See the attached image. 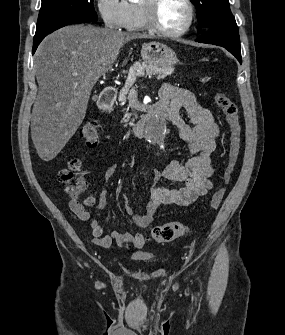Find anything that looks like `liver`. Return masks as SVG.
Instances as JSON below:
<instances>
[{
	"mask_svg": "<svg viewBox=\"0 0 285 335\" xmlns=\"http://www.w3.org/2000/svg\"><path fill=\"white\" fill-rule=\"evenodd\" d=\"M136 38L151 36L77 24L41 42L35 54L40 92L31 118V138L41 160H53L74 136L86 116L93 86L111 70L120 48Z\"/></svg>",
	"mask_w": 285,
	"mask_h": 335,
	"instance_id": "liver-1",
	"label": "liver"
}]
</instances>
